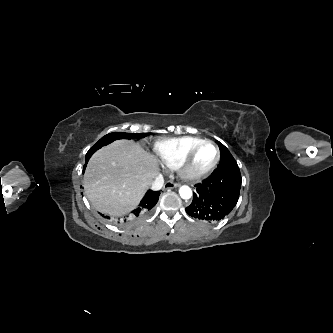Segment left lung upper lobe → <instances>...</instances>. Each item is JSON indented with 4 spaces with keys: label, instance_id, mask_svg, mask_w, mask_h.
Returning a JSON list of instances; mask_svg holds the SVG:
<instances>
[{
    "label": "left lung upper lobe",
    "instance_id": "1",
    "mask_svg": "<svg viewBox=\"0 0 333 333\" xmlns=\"http://www.w3.org/2000/svg\"><path fill=\"white\" fill-rule=\"evenodd\" d=\"M219 148H220L221 159L218 168L233 166L237 164L236 160L233 158L229 150L220 142H219Z\"/></svg>",
    "mask_w": 333,
    "mask_h": 333
}]
</instances>
